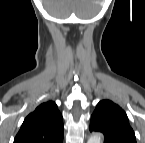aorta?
<instances>
[{
    "label": "aorta",
    "instance_id": "1",
    "mask_svg": "<svg viewBox=\"0 0 145 143\" xmlns=\"http://www.w3.org/2000/svg\"><path fill=\"white\" fill-rule=\"evenodd\" d=\"M101 136L100 134H92L89 139H88V143H101Z\"/></svg>",
    "mask_w": 145,
    "mask_h": 143
}]
</instances>
